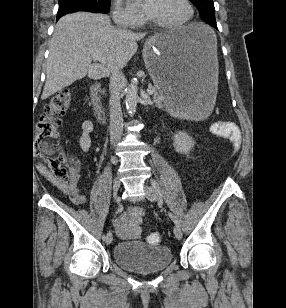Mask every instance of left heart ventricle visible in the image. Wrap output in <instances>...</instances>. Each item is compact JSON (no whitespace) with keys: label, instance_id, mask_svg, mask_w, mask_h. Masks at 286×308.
I'll return each mask as SVG.
<instances>
[{"label":"left heart ventricle","instance_id":"obj_1","mask_svg":"<svg viewBox=\"0 0 286 308\" xmlns=\"http://www.w3.org/2000/svg\"><path fill=\"white\" fill-rule=\"evenodd\" d=\"M188 16L183 0H157L151 19L163 23H177Z\"/></svg>","mask_w":286,"mask_h":308}]
</instances>
